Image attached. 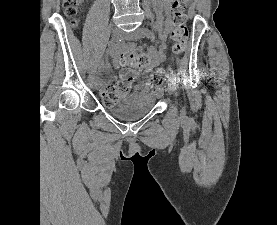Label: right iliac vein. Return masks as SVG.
I'll return each instance as SVG.
<instances>
[{
	"instance_id": "63e3f726",
	"label": "right iliac vein",
	"mask_w": 277,
	"mask_h": 225,
	"mask_svg": "<svg viewBox=\"0 0 277 225\" xmlns=\"http://www.w3.org/2000/svg\"><path fill=\"white\" fill-rule=\"evenodd\" d=\"M121 38H123V32L118 28L113 29L112 30V41H118ZM98 86H99V81L95 80L94 81V88L97 89Z\"/></svg>"
}]
</instances>
